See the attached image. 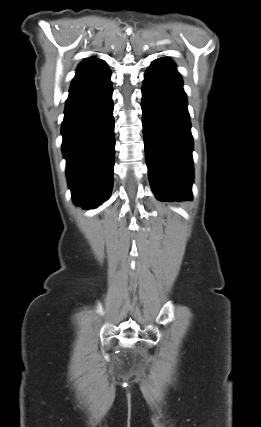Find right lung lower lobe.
Segmentation results:
<instances>
[{
    "label": "right lung lower lobe",
    "mask_w": 261,
    "mask_h": 427,
    "mask_svg": "<svg viewBox=\"0 0 261 427\" xmlns=\"http://www.w3.org/2000/svg\"><path fill=\"white\" fill-rule=\"evenodd\" d=\"M106 65L76 76L66 101L62 150L73 200L83 208L106 201L113 187L114 119Z\"/></svg>",
    "instance_id": "98d812e1"
}]
</instances>
